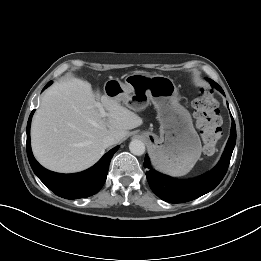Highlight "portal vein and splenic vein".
Segmentation results:
<instances>
[{"label":"portal vein and splenic vein","instance_id":"portal-vein-and-splenic-vein-1","mask_svg":"<svg viewBox=\"0 0 261 261\" xmlns=\"http://www.w3.org/2000/svg\"><path fill=\"white\" fill-rule=\"evenodd\" d=\"M96 107L98 108V110L103 118H105L108 115L107 112L105 111L103 105L100 102L96 103Z\"/></svg>","mask_w":261,"mask_h":261}]
</instances>
